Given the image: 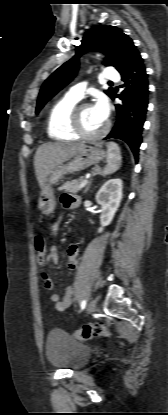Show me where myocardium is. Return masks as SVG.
I'll list each match as a JSON object with an SVG mask.
<instances>
[{"mask_svg": "<svg viewBox=\"0 0 168 415\" xmlns=\"http://www.w3.org/2000/svg\"><path fill=\"white\" fill-rule=\"evenodd\" d=\"M89 105L90 104L87 102H82V103L75 105V107L73 108L71 112V127L73 131L75 132V134L78 135V137L83 138V139L93 140V139H98L107 133L109 129V123L106 122L104 126L97 132H94V133L87 132L82 126L81 119H80V111L84 107L89 106Z\"/></svg>", "mask_w": 168, "mask_h": 415, "instance_id": "f54148a6", "label": "myocardium"}]
</instances>
